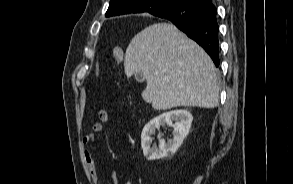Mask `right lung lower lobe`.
I'll list each match as a JSON object with an SVG mask.
<instances>
[{"label":"right lung lower lobe","instance_id":"obj_1","mask_svg":"<svg viewBox=\"0 0 293 184\" xmlns=\"http://www.w3.org/2000/svg\"><path fill=\"white\" fill-rule=\"evenodd\" d=\"M216 8L212 3L199 5L195 1H183L167 12L157 15L174 23L188 37L196 41L219 66V41Z\"/></svg>","mask_w":293,"mask_h":184}]
</instances>
